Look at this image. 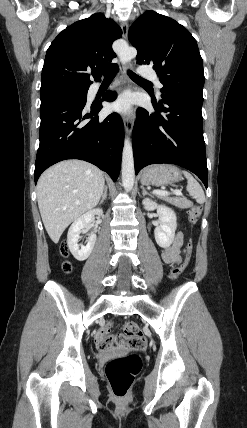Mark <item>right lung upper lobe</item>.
Masks as SVG:
<instances>
[{
	"mask_svg": "<svg viewBox=\"0 0 247 428\" xmlns=\"http://www.w3.org/2000/svg\"><path fill=\"white\" fill-rule=\"evenodd\" d=\"M122 35L121 28L101 13L80 20L53 40L46 52L42 69L40 93L68 87L89 88L101 78L99 69L116 68L114 40Z\"/></svg>",
	"mask_w": 247,
	"mask_h": 428,
	"instance_id": "obj_1",
	"label": "right lung upper lobe"
}]
</instances>
